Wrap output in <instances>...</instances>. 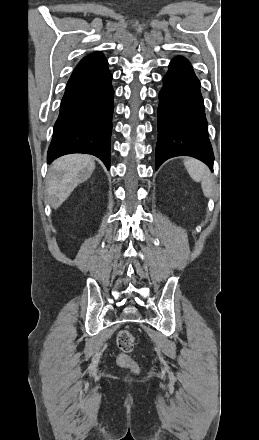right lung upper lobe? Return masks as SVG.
Segmentation results:
<instances>
[{
	"label": "right lung upper lobe",
	"instance_id": "1",
	"mask_svg": "<svg viewBox=\"0 0 259 440\" xmlns=\"http://www.w3.org/2000/svg\"><path fill=\"white\" fill-rule=\"evenodd\" d=\"M98 54H101V53L100 52H94V53H91V54L87 55L86 57H90V56H94V55H98Z\"/></svg>",
	"mask_w": 259,
	"mask_h": 440
}]
</instances>
